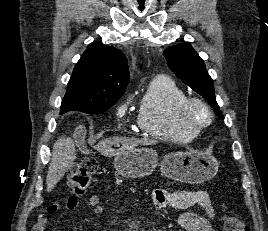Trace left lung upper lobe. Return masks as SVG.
<instances>
[{"instance_id":"left-lung-upper-lobe-1","label":"left lung upper lobe","mask_w":268,"mask_h":231,"mask_svg":"<svg viewBox=\"0 0 268 231\" xmlns=\"http://www.w3.org/2000/svg\"><path fill=\"white\" fill-rule=\"evenodd\" d=\"M164 56L175 75L195 92L205 97L216 115L224 119L214 94L213 80L208 74L204 61L189 42L167 48Z\"/></svg>"}]
</instances>
